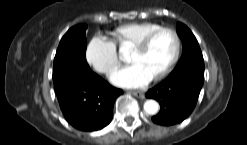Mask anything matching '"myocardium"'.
Instances as JSON below:
<instances>
[{
  "label": "myocardium",
  "mask_w": 247,
  "mask_h": 145,
  "mask_svg": "<svg viewBox=\"0 0 247 145\" xmlns=\"http://www.w3.org/2000/svg\"><path fill=\"white\" fill-rule=\"evenodd\" d=\"M163 32H168L173 36L174 42H175V48H174V52H173V55L170 61L167 63V65L163 69H161L155 76L152 77V80H159L165 77L176 65L179 59V56H180V52H181V38L178 32L171 27H159L158 29L147 34L144 38H142L138 43H136L132 47V50H135L138 52L145 51L150 45V43L152 42V40L157 35Z\"/></svg>",
  "instance_id": "obj_1"
}]
</instances>
